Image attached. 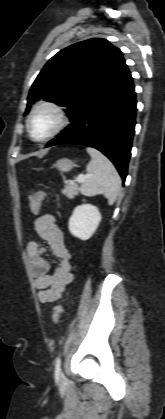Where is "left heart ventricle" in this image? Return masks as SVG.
I'll return each mask as SVG.
<instances>
[{
	"instance_id": "left-heart-ventricle-1",
	"label": "left heart ventricle",
	"mask_w": 165,
	"mask_h": 419,
	"mask_svg": "<svg viewBox=\"0 0 165 419\" xmlns=\"http://www.w3.org/2000/svg\"><path fill=\"white\" fill-rule=\"evenodd\" d=\"M57 122L56 115L48 110H39L31 121V131L35 138L40 139L49 134Z\"/></svg>"
}]
</instances>
